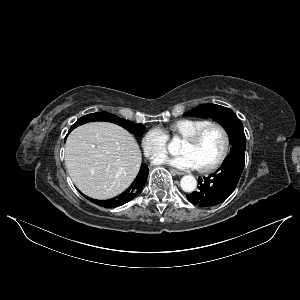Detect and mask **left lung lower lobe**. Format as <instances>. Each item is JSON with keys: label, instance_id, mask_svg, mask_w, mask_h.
I'll return each instance as SVG.
<instances>
[{"label": "left lung lower lobe", "instance_id": "left-lung-lower-lobe-1", "mask_svg": "<svg viewBox=\"0 0 300 300\" xmlns=\"http://www.w3.org/2000/svg\"><path fill=\"white\" fill-rule=\"evenodd\" d=\"M245 155L230 153L222 165L208 177H199L198 191L187 199L200 207H211L226 200L234 191L244 168Z\"/></svg>", "mask_w": 300, "mask_h": 300}]
</instances>
